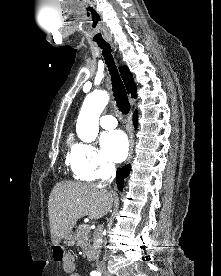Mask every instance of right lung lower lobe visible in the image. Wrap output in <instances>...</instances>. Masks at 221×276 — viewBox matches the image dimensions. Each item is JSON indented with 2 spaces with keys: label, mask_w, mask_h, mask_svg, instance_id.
I'll return each mask as SVG.
<instances>
[{
  "label": "right lung lower lobe",
  "mask_w": 221,
  "mask_h": 276,
  "mask_svg": "<svg viewBox=\"0 0 221 276\" xmlns=\"http://www.w3.org/2000/svg\"><path fill=\"white\" fill-rule=\"evenodd\" d=\"M137 112L134 113L133 115V122L135 127H137ZM130 172V165H126L123 168L117 169V177H116V182H117V186L119 188V190L123 189V185H124V178H126L129 175Z\"/></svg>",
  "instance_id": "obj_1"
}]
</instances>
